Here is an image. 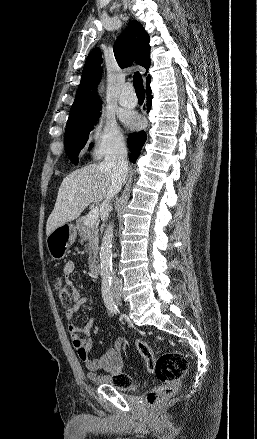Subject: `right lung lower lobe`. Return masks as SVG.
Here are the masks:
<instances>
[{"mask_svg": "<svg viewBox=\"0 0 257 439\" xmlns=\"http://www.w3.org/2000/svg\"><path fill=\"white\" fill-rule=\"evenodd\" d=\"M150 82L151 78L146 80V93H147V110L149 111L151 109L152 105V95H151V89H150ZM147 139V134L144 131H140L138 133L131 134L128 139V146L129 150L131 151V154L129 156V160L132 163H135L137 158L140 155V151L145 144Z\"/></svg>", "mask_w": 257, "mask_h": 439, "instance_id": "right-lung-lower-lobe-1", "label": "right lung lower lobe"}]
</instances>
